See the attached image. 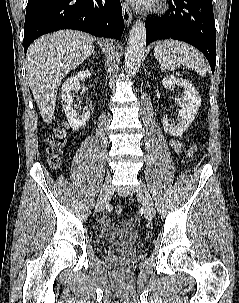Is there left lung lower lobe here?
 I'll list each match as a JSON object with an SVG mask.
<instances>
[{"mask_svg":"<svg viewBox=\"0 0 239 303\" xmlns=\"http://www.w3.org/2000/svg\"><path fill=\"white\" fill-rule=\"evenodd\" d=\"M170 9L146 19V45L158 39H177L198 48L214 73L216 29L212 0H169Z\"/></svg>","mask_w":239,"mask_h":303,"instance_id":"obj_1","label":"left lung lower lobe"}]
</instances>
